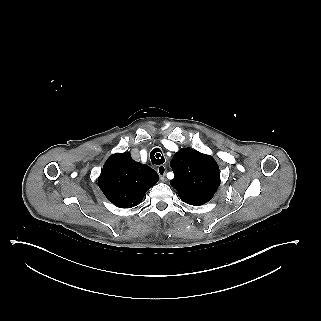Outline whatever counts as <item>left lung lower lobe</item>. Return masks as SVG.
Masks as SVG:
<instances>
[{
    "label": "left lung lower lobe",
    "mask_w": 321,
    "mask_h": 321,
    "mask_svg": "<svg viewBox=\"0 0 321 321\" xmlns=\"http://www.w3.org/2000/svg\"><path fill=\"white\" fill-rule=\"evenodd\" d=\"M210 199H205V200H203V199H200V200H194V202L192 203V204H190V205H202V204H204V203H206V202H208Z\"/></svg>",
    "instance_id": "1"
}]
</instances>
